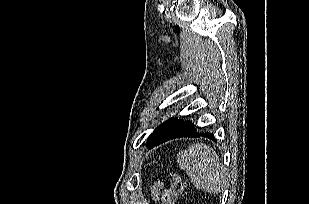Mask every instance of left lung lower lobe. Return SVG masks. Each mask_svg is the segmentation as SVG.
<instances>
[{
  "mask_svg": "<svg viewBox=\"0 0 309 204\" xmlns=\"http://www.w3.org/2000/svg\"><path fill=\"white\" fill-rule=\"evenodd\" d=\"M204 136L209 139H214V134L205 132V133H197L194 124L190 121H182L169 119L164 123L160 124L153 132L152 135L149 136L147 141L148 147H154L160 145L170 139L180 138V137H200Z\"/></svg>",
  "mask_w": 309,
  "mask_h": 204,
  "instance_id": "0a47b994",
  "label": "left lung lower lobe"
}]
</instances>
